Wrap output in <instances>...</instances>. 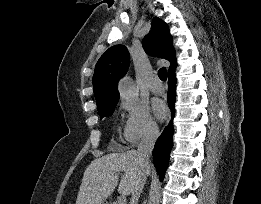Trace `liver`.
Masks as SVG:
<instances>
[{
  "mask_svg": "<svg viewBox=\"0 0 261 204\" xmlns=\"http://www.w3.org/2000/svg\"><path fill=\"white\" fill-rule=\"evenodd\" d=\"M120 172L124 175L118 192L130 195L143 173L136 150L111 153L93 160L84 172L76 204H102L117 186ZM150 172L151 168L147 175Z\"/></svg>",
  "mask_w": 261,
  "mask_h": 204,
  "instance_id": "liver-1",
  "label": "liver"
}]
</instances>
